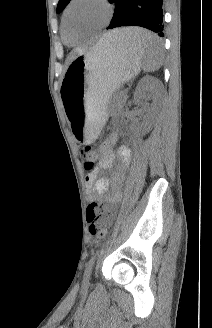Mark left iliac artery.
Instances as JSON below:
<instances>
[{
    "instance_id": "obj_1",
    "label": "left iliac artery",
    "mask_w": 212,
    "mask_h": 328,
    "mask_svg": "<svg viewBox=\"0 0 212 328\" xmlns=\"http://www.w3.org/2000/svg\"><path fill=\"white\" fill-rule=\"evenodd\" d=\"M94 261H95V255H93L91 257V259L89 260V262L87 263V266H86V269H85V273H84V281L85 282H88L89 281V278H90V274H91V270H92Z\"/></svg>"
}]
</instances>
